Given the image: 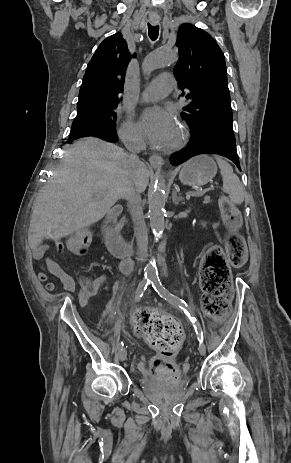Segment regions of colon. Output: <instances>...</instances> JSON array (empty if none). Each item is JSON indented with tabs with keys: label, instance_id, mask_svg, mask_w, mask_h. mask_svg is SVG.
<instances>
[{
	"label": "colon",
	"instance_id": "obj_1",
	"mask_svg": "<svg viewBox=\"0 0 291 463\" xmlns=\"http://www.w3.org/2000/svg\"><path fill=\"white\" fill-rule=\"evenodd\" d=\"M220 211L224 223L231 229L239 226L241 217L238 209L226 197L220 199ZM89 230L78 229L69 239L68 246L72 252H80L91 241ZM245 260L244 243L235 232L226 237V246H212L204 255L200 267V284L203 292L202 306L205 313L215 320L223 319L230 310L232 282L229 262L242 265ZM96 289L95 280L87 279L83 290L91 295ZM135 329L160 354L152 371L157 376H175L177 368L169 361L179 349L183 340L181 326L174 320L142 310L136 314Z\"/></svg>",
	"mask_w": 291,
	"mask_h": 463
}]
</instances>
